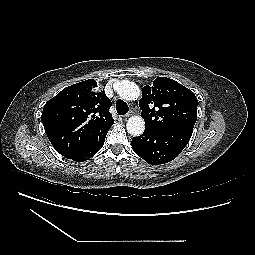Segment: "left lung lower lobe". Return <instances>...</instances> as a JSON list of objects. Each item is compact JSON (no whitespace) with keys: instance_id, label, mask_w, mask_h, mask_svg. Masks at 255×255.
Segmentation results:
<instances>
[{"instance_id":"1","label":"left lung lower lobe","mask_w":255,"mask_h":255,"mask_svg":"<svg viewBox=\"0 0 255 255\" xmlns=\"http://www.w3.org/2000/svg\"><path fill=\"white\" fill-rule=\"evenodd\" d=\"M192 134L146 129L132 139L133 151L151 165L165 164L175 159L188 144Z\"/></svg>"}]
</instances>
